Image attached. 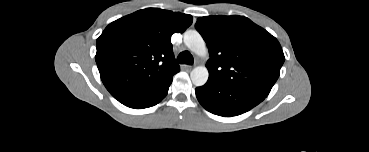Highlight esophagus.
I'll list each match as a JSON object with an SVG mask.
<instances>
[{
    "mask_svg": "<svg viewBox=\"0 0 369 152\" xmlns=\"http://www.w3.org/2000/svg\"><path fill=\"white\" fill-rule=\"evenodd\" d=\"M193 65H185L184 66V68L186 69V70H191V69H193Z\"/></svg>",
    "mask_w": 369,
    "mask_h": 152,
    "instance_id": "1",
    "label": "esophagus"
}]
</instances>
